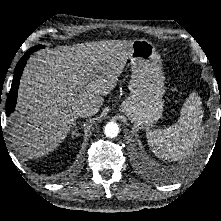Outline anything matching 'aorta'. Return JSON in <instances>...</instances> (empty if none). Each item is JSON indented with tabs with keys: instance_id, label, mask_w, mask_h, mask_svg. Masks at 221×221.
Masks as SVG:
<instances>
[{
	"instance_id": "1",
	"label": "aorta",
	"mask_w": 221,
	"mask_h": 221,
	"mask_svg": "<svg viewBox=\"0 0 221 221\" xmlns=\"http://www.w3.org/2000/svg\"><path fill=\"white\" fill-rule=\"evenodd\" d=\"M104 133L109 138L116 137L119 133V127H118L117 123L109 122L104 128Z\"/></svg>"
}]
</instances>
